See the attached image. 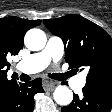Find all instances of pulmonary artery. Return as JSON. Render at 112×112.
Instances as JSON below:
<instances>
[{
	"label": "pulmonary artery",
	"mask_w": 112,
	"mask_h": 112,
	"mask_svg": "<svg viewBox=\"0 0 112 112\" xmlns=\"http://www.w3.org/2000/svg\"><path fill=\"white\" fill-rule=\"evenodd\" d=\"M64 52L63 41L58 37H50L46 47L17 63L16 68L23 73H37L45 69L50 62L59 60ZM85 85L84 76H76L70 80V86L81 89Z\"/></svg>",
	"instance_id": "1"
}]
</instances>
